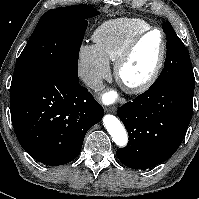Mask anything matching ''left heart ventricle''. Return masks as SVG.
<instances>
[{
	"label": "left heart ventricle",
	"mask_w": 199,
	"mask_h": 199,
	"mask_svg": "<svg viewBox=\"0 0 199 199\" xmlns=\"http://www.w3.org/2000/svg\"><path fill=\"white\" fill-rule=\"evenodd\" d=\"M161 52V35L153 32L143 38L122 68V79L128 84L145 80L153 71Z\"/></svg>",
	"instance_id": "obj_1"
}]
</instances>
